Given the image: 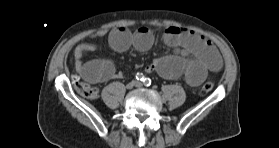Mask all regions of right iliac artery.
Returning <instances> with one entry per match:
<instances>
[{"mask_svg": "<svg viewBox=\"0 0 279 148\" xmlns=\"http://www.w3.org/2000/svg\"><path fill=\"white\" fill-rule=\"evenodd\" d=\"M135 78L138 81H144L145 80V76L142 73H139V72L135 75Z\"/></svg>", "mask_w": 279, "mask_h": 148, "instance_id": "1", "label": "right iliac artery"}]
</instances>
